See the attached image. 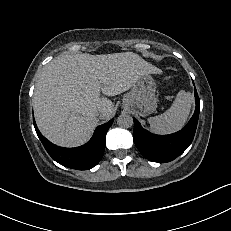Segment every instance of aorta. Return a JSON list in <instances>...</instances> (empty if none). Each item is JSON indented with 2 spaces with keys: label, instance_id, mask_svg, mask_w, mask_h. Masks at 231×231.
Segmentation results:
<instances>
[{
  "label": "aorta",
  "instance_id": "762f6f07",
  "mask_svg": "<svg viewBox=\"0 0 231 231\" xmlns=\"http://www.w3.org/2000/svg\"><path fill=\"white\" fill-rule=\"evenodd\" d=\"M117 124L123 128H130L133 125V118L129 114H121L117 118Z\"/></svg>",
  "mask_w": 231,
  "mask_h": 231
}]
</instances>
